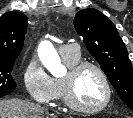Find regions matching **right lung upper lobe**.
<instances>
[{"label":"right lung upper lobe","instance_id":"obj_1","mask_svg":"<svg viewBox=\"0 0 133 118\" xmlns=\"http://www.w3.org/2000/svg\"><path fill=\"white\" fill-rule=\"evenodd\" d=\"M27 17L22 12H6L0 17V58L15 59L26 34Z\"/></svg>","mask_w":133,"mask_h":118}]
</instances>
